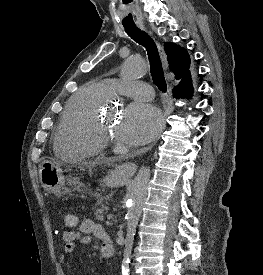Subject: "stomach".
Returning a JSON list of instances; mask_svg holds the SVG:
<instances>
[{"mask_svg": "<svg viewBox=\"0 0 263 275\" xmlns=\"http://www.w3.org/2000/svg\"><path fill=\"white\" fill-rule=\"evenodd\" d=\"M63 173L62 163L50 160L42 162L39 169V178L43 188L48 193L60 197L69 192V189L65 187L67 180L70 186H74V190H79L82 186L79 178H67ZM101 182L110 187L121 186L126 182V177L119 168H116L110 171Z\"/></svg>", "mask_w": 263, "mask_h": 275, "instance_id": "obj_1", "label": "stomach"}]
</instances>
